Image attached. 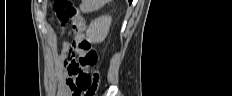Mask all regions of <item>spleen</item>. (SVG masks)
Listing matches in <instances>:
<instances>
[{
  "label": "spleen",
  "instance_id": "3e777b00",
  "mask_svg": "<svg viewBox=\"0 0 232 96\" xmlns=\"http://www.w3.org/2000/svg\"><path fill=\"white\" fill-rule=\"evenodd\" d=\"M106 0H83L80 5V10L83 13H91L99 10L106 4Z\"/></svg>",
  "mask_w": 232,
  "mask_h": 96
}]
</instances>
